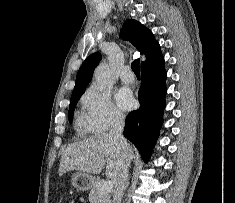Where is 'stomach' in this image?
I'll return each mask as SVG.
<instances>
[{"mask_svg":"<svg viewBox=\"0 0 235 203\" xmlns=\"http://www.w3.org/2000/svg\"><path fill=\"white\" fill-rule=\"evenodd\" d=\"M95 177L85 173L76 172L71 176V183L78 191H86L93 187L95 184Z\"/></svg>","mask_w":235,"mask_h":203,"instance_id":"1","label":"stomach"}]
</instances>
